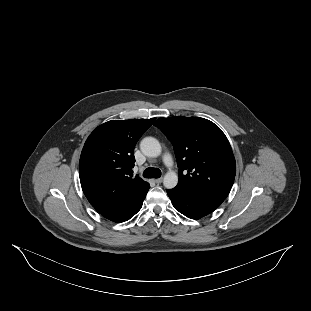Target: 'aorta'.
<instances>
[{
    "label": "aorta",
    "instance_id": "1",
    "mask_svg": "<svg viewBox=\"0 0 311 311\" xmlns=\"http://www.w3.org/2000/svg\"><path fill=\"white\" fill-rule=\"evenodd\" d=\"M141 152L151 158H156L161 154V145L154 137H145L140 142ZM178 183V175L174 171H169L165 174L163 185L167 189L174 188Z\"/></svg>",
    "mask_w": 311,
    "mask_h": 311
}]
</instances>
